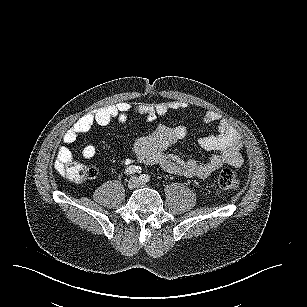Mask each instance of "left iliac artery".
Masks as SVG:
<instances>
[{
  "label": "left iliac artery",
  "mask_w": 307,
  "mask_h": 307,
  "mask_svg": "<svg viewBox=\"0 0 307 307\" xmlns=\"http://www.w3.org/2000/svg\"><path fill=\"white\" fill-rule=\"evenodd\" d=\"M139 179L142 181V182H148L150 180V177L146 174H142L139 176Z\"/></svg>",
  "instance_id": "44dca946"
}]
</instances>
